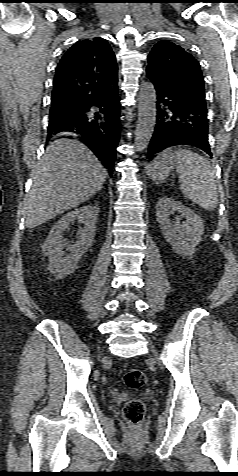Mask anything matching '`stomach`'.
Returning <instances> with one entry per match:
<instances>
[{
  "instance_id": "0dacf381",
  "label": "stomach",
  "mask_w": 238,
  "mask_h": 476,
  "mask_svg": "<svg viewBox=\"0 0 238 476\" xmlns=\"http://www.w3.org/2000/svg\"><path fill=\"white\" fill-rule=\"evenodd\" d=\"M176 163L172 151L165 150L148 166L147 174L153 181L162 182L169 176Z\"/></svg>"
}]
</instances>
